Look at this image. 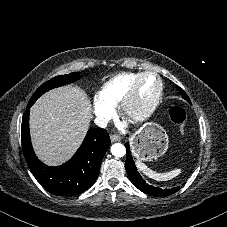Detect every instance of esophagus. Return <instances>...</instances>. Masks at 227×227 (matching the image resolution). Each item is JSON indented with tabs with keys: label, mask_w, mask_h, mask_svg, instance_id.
I'll return each mask as SVG.
<instances>
[{
	"label": "esophagus",
	"mask_w": 227,
	"mask_h": 227,
	"mask_svg": "<svg viewBox=\"0 0 227 227\" xmlns=\"http://www.w3.org/2000/svg\"><path fill=\"white\" fill-rule=\"evenodd\" d=\"M110 140H111V142H117V141L121 140V137L117 134H112V135H110Z\"/></svg>",
	"instance_id": "esophagus-1"
}]
</instances>
